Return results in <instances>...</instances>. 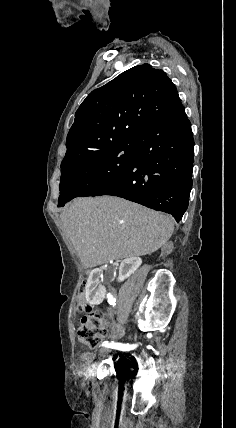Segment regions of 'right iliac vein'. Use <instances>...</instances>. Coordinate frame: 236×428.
<instances>
[{
  "mask_svg": "<svg viewBox=\"0 0 236 428\" xmlns=\"http://www.w3.org/2000/svg\"><path fill=\"white\" fill-rule=\"evenodd\" d=\"M106 346H103L102 347V352L100 353L102 356H108V354H110L111 353V350L110 349H106L105 348Z\"/></svg>",
  "mask_w": 236,
  "mask_h": 428,
  "instance_id": "63e3f726",
  "label": "right iliac vein"
}]
</instances>
